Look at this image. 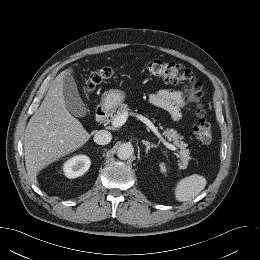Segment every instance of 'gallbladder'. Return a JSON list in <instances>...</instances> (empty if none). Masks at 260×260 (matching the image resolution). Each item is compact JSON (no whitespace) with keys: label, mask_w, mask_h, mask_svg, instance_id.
Segmentation results:
<instances>
[{"label":"gallbladder","mask_w":260,"mask_h":260,"mask_svg":"<svg viewBox=\"0 0 260 260\" xmlns=\"http://www.w3.org/2000/svg\"><path fill=\"white\" fill-rule=\"evenodd\" d=\"M63 96L68 111L76 117L89 114L87 105L82 101L74 78L68 74L63 81Z\"/></svg>","instance_id":"obj_1"}]
</instances>
